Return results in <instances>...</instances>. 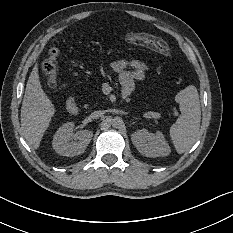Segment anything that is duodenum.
I'll list each match as a JSON object with an SVG mask.
<instances>
[{"instance_id": "410a0bca", "label": "duodenum", "mask_w": 233, "mask_h": 233, "mask_svg": "<svg viewBox=\"0 0 233 233\" xmlns=\"http://www.w3.org/2000/svg\"><path fill=\"white\" fill-rule=\"evenodd\" d=\"M66 109L72 115L78 114V111H79L78 106H77V103H76L75 98L73 96H69L67 98Z\"/></svg>"}]
</instances>
